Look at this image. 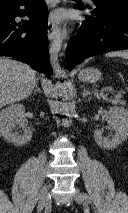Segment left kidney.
<instances>
[{
	"mask_svg": "<svg viewBox=\"0 0 128 213\" xmlns=\"http://www.w3.org/2000/svg\"><path fill=\"white\" fill-rule=\"evenodd\" d=\"M108 125L115 133L111 138L104 137L101 130L94 131V139L98 146L113 150L128 138V110L123 107H111Z\"/></svg>",
	"mask_w": 128,
	"mask_h": 213,
	"instance_id": "1",
	"label": "left kidney"
}]
</instances>
